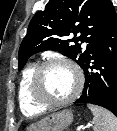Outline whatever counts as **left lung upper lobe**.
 <instances>
[{"instance_id": "1", "label": "left lung upper lobe", "mask_w": 117, "mask_h": 131, "mask_svg": "<svg viewBox=\"0 0 117 131\" xmlns=\"http://www.w3.org/2000/svg\"><path fill=\"white\" fill-rule=\"evenodd\" d=\"M112 7L110 0H50L30 21L19 48L18 70L31 55L46 50L58 51L84 69L100 42ZM84 42L88 43L86 48L81 47Z\"/></svg>"}]
</instances>
